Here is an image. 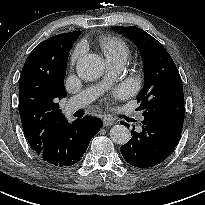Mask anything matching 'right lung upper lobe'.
<instances>
[{"label":"right lung upper lobe","instance_id":"right-lung-upper-lobe-1","mask_svg":"<svg viewBox=\"0 0 205 205\" xmlns=\"http://www.w3.org/2000/svg\"><path fill=\"white\" fill-rule=\"evenodd\" d=\"M81 31L53 36L36 46L20 76L19 113L31 148L39 153L66 121L58 100L66 97L68 53Z\"/></svg>","mask_w":205,"mask_h":205}]
</instances>
